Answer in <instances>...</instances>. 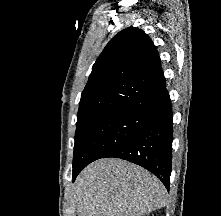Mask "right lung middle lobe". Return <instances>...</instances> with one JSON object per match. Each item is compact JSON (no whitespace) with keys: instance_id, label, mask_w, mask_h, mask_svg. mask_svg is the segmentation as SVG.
I'll list each match as a JSON object with an SVG mask.
<instances>
[{"instance_id":"right-lung-middle-lobe-1","label":"right lung middle lobe","mask_w":221,"mask_h":216,"mask_svg":"<svg viewBox=\"0 0 221 216\" xmlns=\"http://www.w3.org/2000/svg\"><path fill=\"white\" fill-rule=\"evenodd\" d=\"M146 114L119 111L77 124L73 167L103 158L128 141L144 124Z\"/></svg>"}]
</instances>
